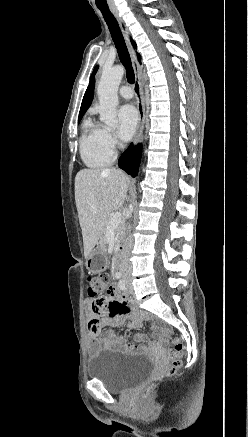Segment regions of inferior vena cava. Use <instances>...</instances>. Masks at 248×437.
<instances>
[{
	"label": "inferior vena cava",
	"mask_w": 248,
	"mask_h": 437,
	"mask_svg": "<svg viewBox=\"0 0 248 437\" xmlns=\"http://www.w3.org/2000/svg\"><path fill=\"white\" fill-rule=\"evenodd\" d=\"M130 230H131V226L129 225L128 226L129 234H128V237H127V241L125 243L124 259H123V265L126 268H130L131 267V263H130V260H129V254H130L131 248L133 246V237H132V235L130 233Z\"/></svg>",
	"instance_id": "602c4592"
}]
</instances>
